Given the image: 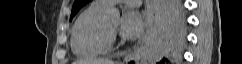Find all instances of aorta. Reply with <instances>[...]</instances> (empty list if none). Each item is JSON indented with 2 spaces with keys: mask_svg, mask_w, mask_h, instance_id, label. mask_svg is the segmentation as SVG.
Listing matches in <instances>:
<instances>
[{
  "mask_svg": "<svg viewBox=\"0 0 242 64\" xmlns=\"http://www.w3.org/2000/svg\"><path fill=\"white\" fill-rule=\"evenodd\" d=\"M108 17L116 22L120 21V11L116 7H112L107 12Z\"/></svg>",
  "mask_w": 242,
  "mask_h": 64,
  "instance_id": "762f6f07",
  "label": "aorta"
}]
</instances>
